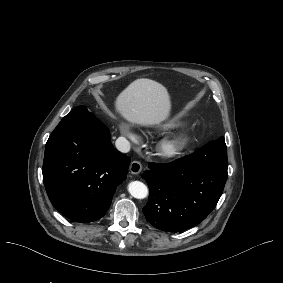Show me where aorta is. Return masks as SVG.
I'll list each match as a JSON object with an SVG mask.
<instances>
[{"mask_svg": "<svg viewBox=\"0 0 283 283\" xmlns=\"http://www.w3.org/2000/svg\"><path fill=\"white\" fill-rule=\"evenodd\" d=\"M129 193L137 199H144L147 197L149 191L147 186L140 181H132L128 185Z\"/></svg>", "mask_w": 283, "mask_h": 283, "instance_id": "obj_1", "label": "aorta"}]
</instances>
